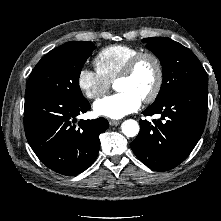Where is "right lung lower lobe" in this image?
I'll use <instances>...</instances> for the list:
<instances>
[{
	"instance_id": "obj_1",
	"label": "right lung lower lobe",
	"mask_w": 221,
	"mask_h": 221,
	"mask_svg": "<svg viewBox=\"0 0 221 221\" xmlns=\"http://www.w3.org/2000/svg\"><path fill=\"white\" fill-rule=\"evenodd\" d=\"M90 109L87 99L72 101L61 96L30 90L25 92L24 128L26 138L40 161L62 175L86 170L96 159L99 135L109 123L104 118L75 117Z\"/></svg>"
}]
</instances>
